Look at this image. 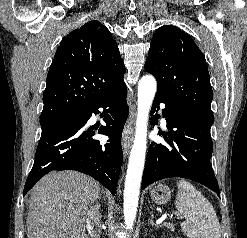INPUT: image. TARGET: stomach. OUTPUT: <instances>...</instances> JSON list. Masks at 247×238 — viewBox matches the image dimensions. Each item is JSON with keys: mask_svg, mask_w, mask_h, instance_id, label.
Segmentation results:
<instances>
[{"mask_svg": "<svg viewBox=\"0 0 247 238\" xmlns=\"http://www.w3.org/2000/svg\"><path fill=\"white\" fill-rule=\"evenodd\" d=\"M151 199L154 203L162 205L171 198V189L167 185H155L150 191Z\"/></svg>", "mask_w": 247, "mask_h": 238, "instance_id": "1", "label": "stomach"}]
</instances>
